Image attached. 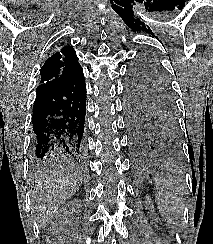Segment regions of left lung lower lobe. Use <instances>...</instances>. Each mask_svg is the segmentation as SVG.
<instances>
[{
    "mask_svg": "<svg viewBox=\"0 0 213 244\" xmlns=\"http://www.w3.org/2000/svg\"><path fill=\"white\" fill-rule=\"evenodd\" d=\"M126 123L130 149L135 156L149 157L158 152L164 140L144 118L126 109Z\"/></svg>",
    "mask_w": 213,
    "mask_h": 244,
    "instance_id": "1",
    "label": "left lung lower lobe"
}]
</instances>
